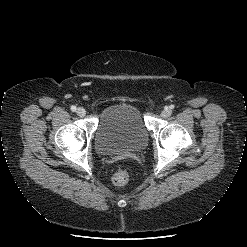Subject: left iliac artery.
Returning <instances> with one entry per match:
<instances>
[{"label": "left iliac artery", "mask_w": 247, "mask_h": 247, "mask_svg": "<svg viewBox=\"0 0 247 247\" xmlns=\"http://www.w3.org/2000/svg\"><path fill=\"white\" fill-rule=\"evenodd\" d=\"M170 108H171V109H173V108H174V106H173V105H171V106H170Z\"/></svg>", "instance_id": "obj_1"}]
</instances>
